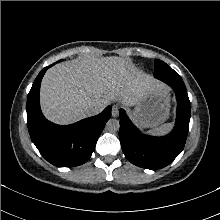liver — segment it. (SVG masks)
Instances as JSON below:
<instances>
[{"mask_svg": "<svg viewBox=\"0 0 220 220\" xmlns=\"http://www.w3.org/2000/svg\"><path fill=\"white\" fill-rule=\"evenodd\" d=\"M161 85L121 57H83L59 63L43 77L40 104L44 116L60 125L86 118L92 103L120 101L135 106Z\"/></svg>", "mask_w": 220, "mask_h": 220, "instance_id": "liver-1", "label": "liver"}]
</instances>
